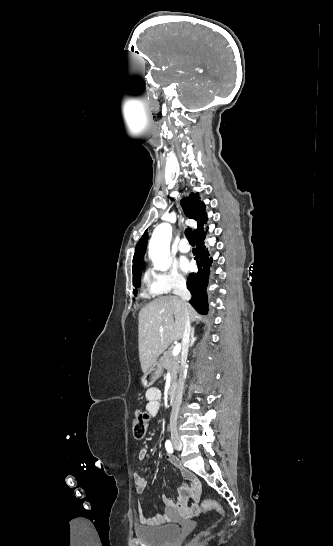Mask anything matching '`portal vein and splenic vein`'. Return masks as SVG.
I'll use <instances>...</instances> for the list:
<instances>
[{
  "mask_svg": "<svg viewBox=\"0 0 333 546\" xmlns=\"http://www.w3.org/2000/svg\"><path fill=\"white\" fill-rule=\"evenodd\" d=\"M180 351H181V344L175 345L172 351V356L175 357L179 355Z\"/></svg>",
  "mask_w": 333,
  "mask_h": 546,
  "instance_id": "portal-vein-and-splenic-vein-1",
  "label": "portal vein and splenic vein"
}]
</instances>
